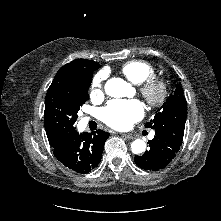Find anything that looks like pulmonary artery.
Here are the masks:
<instances>
[{
  "instance_id": "obj_1",
  "label": "pulmonary artery",
  "mask_w": 221,
  "mask_h": 221,
  "mask_svg": "<svg viewBox=\"0 0 221 221\" xmlns=\"http://www.w3.org/2000/svg\"><path fill=\"white\" fill-rule=\"evenodd\" d=\"M153 137H154V133H151V134H150V138H153Z\"/></svg>"
}]
</instances>
